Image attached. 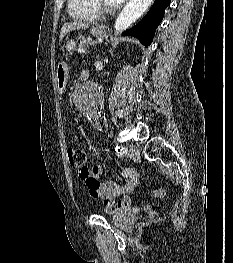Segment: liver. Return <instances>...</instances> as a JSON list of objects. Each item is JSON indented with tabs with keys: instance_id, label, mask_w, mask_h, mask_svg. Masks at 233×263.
I'll list each match as a JSON object with an SVG mask.
<instances>
[{
	"instance_id": "6515ba94",
	"label": "liver",
	"mask_w": 233,
	"mask_h": 263,
	"mask_svg": "<svg viewBox=\"0 0 233 263\" xmlns=\"http://www.w3.org/2000/svg\"><path fill=\"white\" fill-rule=\"evenodd\" d=\"M89 27L88 23H83L81 21H73L69 23H65L60 32V41L65 37L67 33L73 30H78V29H87Z\"/></svg>"
}]
</instances>
